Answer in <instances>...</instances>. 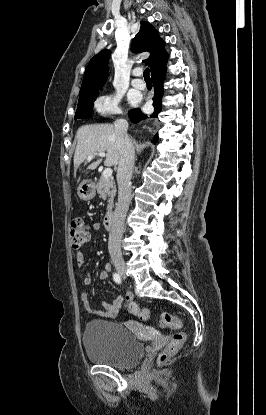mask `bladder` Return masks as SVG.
Segmentation results:
<instances>
[{
    "label": "bladder",
    "instance_id": "obj_1",
    "mask_svg": "<svg viewBox=\"0 0 266 415\" xmlns=\"http://www.w3.org/2000/svg\"><path fill=\"white\" fill-rule=\"evenodd\" d=\"M82 342L89 360L115 368L133 367L144 354L143 345L137 337L125 326L113 321H89Z\"/></svg>",
    "mask_w": 266,
    "mask_h": 415
}]
</instances>
